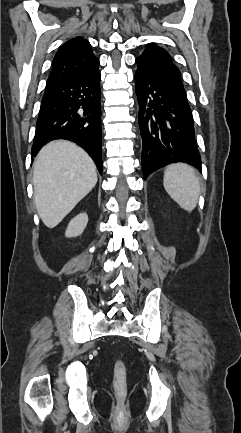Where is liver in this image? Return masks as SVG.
Segmentation results:
<instances>
[{
  "instance_id": "obj_1",
  "label": "liver",
  "mask_w": 241,
  "mask_h": 433,
  "mask_svg": "<svg viewBox=\"0 0 241 433\" xmlns=\"http://www.w3.org/2000/svg\"><path fill=\"white\" fill-rule=\"evenodd\" d=\"M96 183V166L82 148L64 140L45 145L33 164L34 200L45 226H57Z\"/></svg>"
}]
</instances>
